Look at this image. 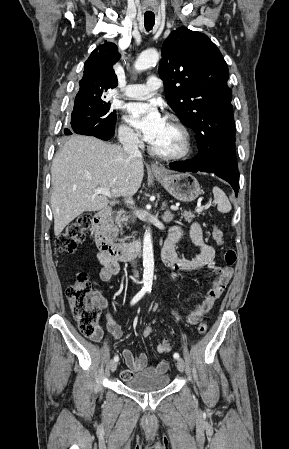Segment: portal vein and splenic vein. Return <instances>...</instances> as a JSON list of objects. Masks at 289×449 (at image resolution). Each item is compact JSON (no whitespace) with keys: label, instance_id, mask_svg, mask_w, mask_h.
I'll return each mask as SVG.
<instances>
[{"label":"portal vein and splenic vein","instance_id":"portal-vein-and-splenic-vein-1","mask_svg":"<svg viewBox=\"0 0 289 449\" xmlns=\"http://www.w3.org/2000/svg\"><path fill=\"white\" fill-rule=\"evenodd\" d=\"M95 193H96V194H102V195H105V196H108V197L111 198L110 191H109V189L106 188V187H101V188L95 189ZM171 209H172V210H178L179 207H178V206H175V205H172V206H171ZM203 209H204V206L198 207L197 210H196V212H201Z\"/></svg>","mask_w":289,"mask_h":449}]
</instances>
